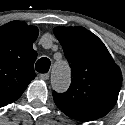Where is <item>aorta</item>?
Here are the masks:
<instances>
[{"instance_id":"obj_1","label":"aorta","mask_w":125,"mask_h":125,"mask_svg":"<svg viewBox=\"0 0 125 125\" xmlns=\"http://www.w3.org/2000/svg\"><path fill=\"white\" fill-rule=\"evenodd\" d=\"M70 84V70L66 62H57L52 71L51 85L57 91H64Z\"/></svg>"}]
</instances>
